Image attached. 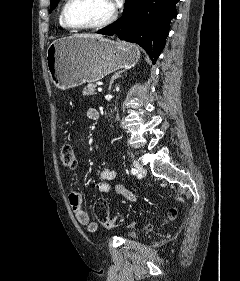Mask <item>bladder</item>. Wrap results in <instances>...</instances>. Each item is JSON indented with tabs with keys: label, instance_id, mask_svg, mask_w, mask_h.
Segmentation results:
<instances>
[{
	"label": "bladder",
	"instance_id": "31cf9c89",
	"mask_svg": "<svg viewBox=\"0 0 240 281\" xmlns=\"http://www.w3.org/2000/svg\"><path fill=\"white\" fill-rule=\"evenodd\" d=\"M127 236L129 238H136V234H134V233H129V234H127Z\"/></svg>",
	"mask_w": 240,
	"mask_h": 281
}]
</instances>
